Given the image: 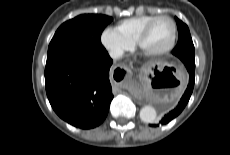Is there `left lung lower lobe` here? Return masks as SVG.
Instances as JSON below:
<instances>
[{
    "mask_svg": "<svg viewBox=\"0 0 230 155\" xmlns=\"http://www.w3.org/2000/svg\"><path fill=\"white\" fill-rule=\"evenodd\" d=\"M181 58V61L184 63V65L186 66V69L189 73V83L187 85V88L183 94V96L181 97L178 105L171 110L169 113H167L166 115H164V117L160 120L159 124H153L151 125L152 127H156L164 124H167L168 122H170L172 119H174L175 117H177L182 110L185 108L186 104L188 103L190 96L192 94L193 91V87H194V82H195V58L191 57H187V55L185 54H181L179 55Z\"/></svg>",
    "mask_w": 230,
    "mask_h": 155,
    "instance_id": "obj_1",
    "label": "left lung lower lobe"
}]
</instances>
